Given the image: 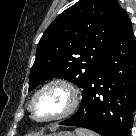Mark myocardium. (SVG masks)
<instances>
[{
  "instance_id": "obj_1",
  "label": "myocardium",
  "mask_w": 136,
  "mask_h": 136,
  "mask_svg": "<svg viewBox=\"0 0 136 136\" xmlns=\"http://www.w3.org/2000/svg\"><path fill=\"white\" fill-rule=\"evenodd\" d=\"M60 88L62 89L67 97H68V102L66 107L64 108L63 111H61L60 113H58L57 115H54L52 117H48V118H38L35 116L34 112H33V105L35 103L36 98L43 93L44 91L50 89V88ZM79 102H80V95H79V91L78 89L69 81L65 80V79H52L46 83H44L40 88H38L35 93L33 94L29 105H28V110L30 112L31 117L37 121V122H41V123H49V122H55V121H59L62 119H65L67 117H69L70 115H72L76 109L79 106Z\"/></svg>"
}]
</instances>
